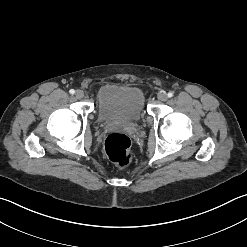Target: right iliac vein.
<instances>
[{"label": "right iliac vein", "instance_id": "right-iliac-vein-1", "mask_svg": "<svg viewBox=\"0 0 247 247\" xmlns=\"http://www.w3.org/2000/svg\"><path fill=\"white\" fill-rule=\"evenodd\" d=\"M75 97H76L77 99H82V98L84 97L83 91L77 90V91L75 92Z\"/></svg>", "mask_w": 247, "mask_h": 247}]
</instances>
